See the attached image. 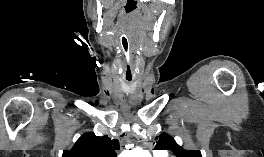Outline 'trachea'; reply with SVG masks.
Here are the masks:
<instances>
[{
    "instance_id": "trachea-1",
    "label": "trachea",
    "mask_w": 264,
    "mask_h": 157,
    "mask_svg": "<svg viewBox=\"0 0 264 157\" xmlns=\"http://www.w3.org/2000/svg\"><path fill=\"white\" fill-rule=\"evenodd\" d=\"M123 56H124V76L128 82L133 79V69H132V61H131V52L129 45L127 43H123Z\"/></svg>"
}]
</instances>
